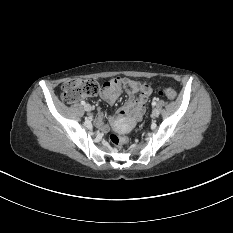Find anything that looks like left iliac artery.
<instances>
[{"instance_id": "44dca946", "label": "left iliac artery", "mask_w": 233, "mask_h": 233, "mask_svg": "<svg viewBox=\"0 0 233 233\" xmlns=\"http://www.w3.org/2000/svg\"><path fill=\"white\" fill-rule=\"evenodd\" d=\"M152 105H153V106H155V105H156V102H155V101H153V102H152Z\"/></svg>"}]
</instances>
